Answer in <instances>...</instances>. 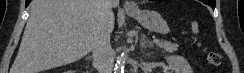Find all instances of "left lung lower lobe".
I'll use <instances>...</instances> for the list:
<instances>
[{"label":"left lung lower lobe","mask_w":244,"mask_h":73,"mask_svg":"<svg viewBox=\"0 0 244 73\" xmlns=\"http://www.w3.org/2000/svg\"><path fill=\"white\" fill-rule=\"evenodd\" d=\"M202 2L211 6L213 9L215 8V0H202Z\"/></svg>","instance_id":"1"}]
</instances>
